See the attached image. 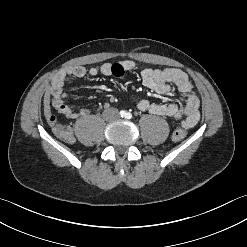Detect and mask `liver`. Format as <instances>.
<instances>
[{
  "label": "liver",
  "mask_w": 247,
  "mask_h": 247,
  "mask_svg": "<svg viewBox=\"0 0 247 247\" xmlns=\"http://www.w3.org/2000/svg\"><path fill=\"white\" fill-rule=\"evenodd\" d=\"M44 115L46 118H49L51 115V108H50V91L47 90L44 95Z\"/></svg>",
  "instance_id": "obj_1"
}]
</instances>
